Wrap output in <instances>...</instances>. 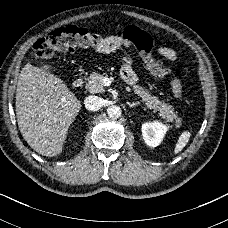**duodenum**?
Listing matches in <instances>:
<instances>
[{"instance_id":"duodenum-1","label":"duodenum","mask_w":228,"mask_h":228,"mask_svg":"<svg viewBox=\"0 0 228 228\" xmlns=\"http://www.w3.org/2000/svg\"><path fill=\"white\" fill-rule=\"evenodd\" d=\"M83 85V78L82 77H77L72 81V86L74 88H81Z\"/></svg>"}]
</instances>
